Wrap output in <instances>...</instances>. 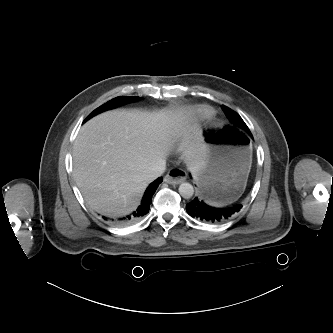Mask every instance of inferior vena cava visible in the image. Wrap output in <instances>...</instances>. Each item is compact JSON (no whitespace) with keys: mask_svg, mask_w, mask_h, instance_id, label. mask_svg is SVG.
I'll list each match as a JSON object with an SVG mask.
<instances>
[{"mask_svg":"<svg viewBox=\"0 0 333 333\" xmlns=\"http://www.w3.org/2000/svg\"><path fill=\"white\" fill-rule=\"evenodd\" d=\"M165 169L166 162L161 159L147 169L145 179L153 181L157 177L161 176L165 172Z\"/></svg>","mask_w":333,"mask_h":333,"instance_id":"1","label":"inferior vena cava"}]
</instances>
